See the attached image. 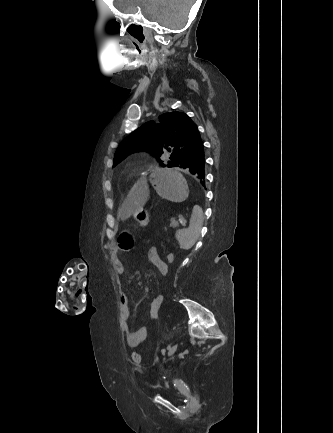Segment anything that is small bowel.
Here are the masks:
<instances>
[{"mask_svg":"<svg viewBox=\"0 0 333 433\" xmlns=\"http://www.w3.org/2000/svg\"><path fill=\"white\" fill-rule=\"evenodd\" d=\"M147 257L148 260L157 268L161 275L166 276L168 274L169 268L166 266V262L160 257L159 252L155 247H151L148 249ZM111 261L115 271L118 274H122L124 272V265L119 256L118 249L115 246L111 251ZM155 297L163 303L165 300V293L160 292L156 294ZM151 308L152 307L150 305V309ZM130 314L131 312L129 306V298L126 294H121L119 300V317L121 321L122 331L128 346L137 347L147 338L148 328L146 326H143L137 330H133L129 324Z\"/></svg>","mask_w":333,"mask_h":433,"instance_id":"c3829d8e","label":"small bowel"}]
</instances>
